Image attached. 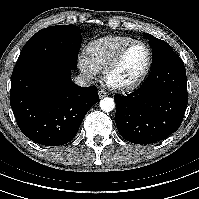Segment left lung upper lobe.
Listing matches in <instances>:
<instances>
[{
  "instance_id": "5c2ea615",
  "label": "left lung upper lobe",
  "mask_w": 199,
  "mask_h": 199,
  "mask_svg": "<svg viewBox=\"0 0 199 199\" xmlns=\"http://www.w3.org/2000/svg\"><path fill=\"white\" fill-rule=\"evenodd\" d=\"M143 36L149 39V44L152 48V66L154 67L161 61L177 56L176 52L173 51L171 46L167 42L155 38L154 36L144 33Z\"/></svg>"
}]
</instances>
